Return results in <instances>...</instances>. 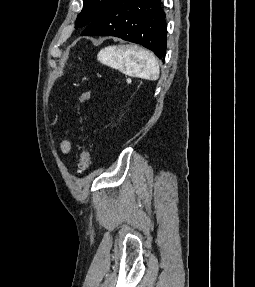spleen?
<instances>
[{
  "mask_svg": "<svg viewBox=\"0 0 255 287\" xmlns=\"http://www.w3.org/2000/svg\"><path fill=\"white\" fill-rule=\"evenodd\" d=\"M97 60L110 68H123L127 74L141 80H158L160 70L157 58L146 50H135L128 46H108L101 50Z\"/></svg>",
  "mask_w": 255,
  "mask_h": 287,
  "instance_id": "spleen-1",
  "label": "spleen"
}]
</instances>
